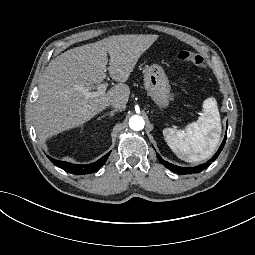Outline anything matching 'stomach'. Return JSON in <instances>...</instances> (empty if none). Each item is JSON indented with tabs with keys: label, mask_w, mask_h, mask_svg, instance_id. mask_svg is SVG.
<instances>
[{
	"label": "stomach",
	"mask_w": 255,
	"mask_h": 255,
	"mask_svg": "<svg viewBox=\"0 0 255 255\" xmlns=\"http://www.w3.org/2000/svg\"><path fill=\"white\" fill-rule=\"evenodd\" d=\"M144 87L147 94L160 108H166L169 105L171 87L161 67L145 69Z\"/></svg>",
	"instance_id": "stomach-1"
}]
</instances>
